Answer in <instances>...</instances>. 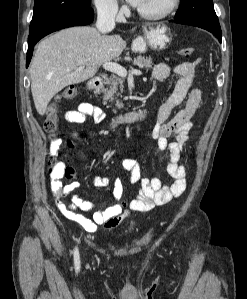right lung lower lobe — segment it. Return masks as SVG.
<instances>
[{"instance_id":"obj_1","label":"right lung lower lobe","mask_w":247,"mask_h":299,"mask_svg":"<svg viewBox=\"0 0 247 299\" xmlns=\"http://www.w3.org/2000/svg\"><path fill=\"white\" fill-rule=\"evenodd\" d=\"M94 19V12L91 7L75 9L65 12L49 21L43 23L39 27L29 30L28 37V51L26 57V67H28L32 54L34 45L44 36L71 26L87 25L91 23Z\"/></svg>"}]
</instances>
